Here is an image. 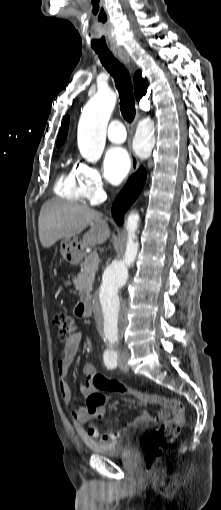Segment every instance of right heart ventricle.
Returning <instances> with one entry per match:
<instances>
[{"label":"right heart ventricle","instance_id":"1","mask_svg":"<svg viewBox=\"0 0 221 510\" xmlns=\"http://www.w3.org/2000/svg\"><path fill=\"white\" fill-rule=\"evenodd\" d=\"M56 195L71 202L81 201L82 194L79 188L77 168H64L55 183Z\"/></svg>","mask_w":221,"mask_h":510}]
</instances>
